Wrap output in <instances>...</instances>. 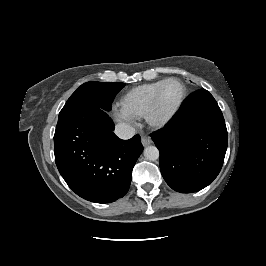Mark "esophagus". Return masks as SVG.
I'll use <instances>...</instances> for the list:
<instances>
[{"mask_svg": "<svg viewBox=\"0 0 266 266\" xmlns=\"http://www.w3.org/2000/svg\"><path fill=\"white\" fill-rule=\"evenodd\" d=\"M141 142H142L143 146H148L152 143V140L149 136L142 135Z\"/></svg>", "mask_w": 266, "mask_h": 266, "instance_id": "obj_1", "label": "esophagus"}]
</instances>
